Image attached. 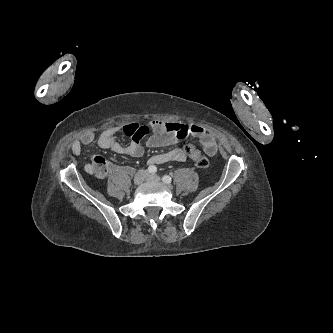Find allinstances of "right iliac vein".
<instances>
[{
    "mask_svg": "<svg viewBox=\"0 0 333 333\" xmlns=\"http://www.w3.org/2000/svg\"><path fill=\"white\" fill-rule=\"evenodd\" d=\"M146 178H147V172L144 170H141L136 173V175L134 177V183L136 185H140L146 180Z\"/></svg>",
    "mask_w": 333,
    "mask_h": 333,
    "instance_id": "obj_1",
    "label": "right iliac vein"
}]
</instances>
